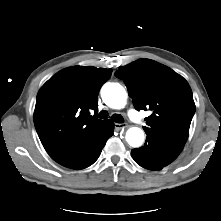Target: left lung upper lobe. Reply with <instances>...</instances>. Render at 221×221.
<instances>
[{"label":"left lung upper lobe","mask_w":221,"mask_h":221,"mask_svg":"<svg viewBox=\"0 0 221 221\" xmlns=\"http://www.w3.org/2000/svg\"><path fill=\"white\" fill-rule=\"evenodd\" d=\"M115 76L125 82L138 111L152 112L145 118L146 139L181 152L196 109L188 82L169 67L150 59L123 66Z\"/></svg>","instance_id":"obj_1"}]
</instances>
